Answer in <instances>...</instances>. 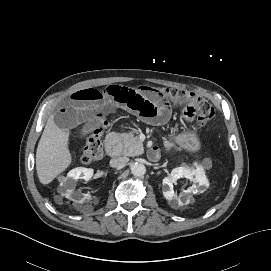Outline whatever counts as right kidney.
I'll use <instances>...</instances> for the list:
<instances>
[{
    "label": "right kidney",
    "mask_w": 271,
    "mask_h": 271,
    "mask_svg": "<svg viewBox=\"0 0 271 271\" xmlns=\"http://www.w3.org/2000/svg\"><path fill=\"white\" fill-rule=\"evenodd\" d=\"M93 176V169L85 167H77L68 172L66 178H64L60 184L59 191L63 196L76 203L89 202L91 200L90 194H79L75 191V181L77 179H84L88 181Z\"/></svg>",
    "instance_id": "1"
}]
</instances>
